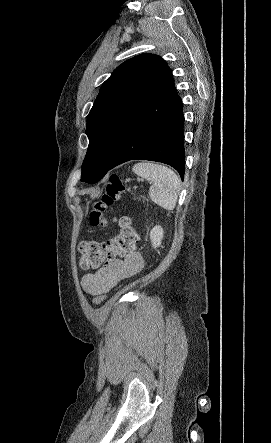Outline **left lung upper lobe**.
<instances>
[{
	"instance_id": "obj_1",
	"label": "left lung upper lobe",
	"mask_w": 271,
	"mask_h": 443,
	"mask_svg": "<svg viewBox=\"0 0 271 443\" xmlns=\"http://www.w3.org/2000/svg\"><path fill=\"white\" fill-rule=\"evenodd\" d=\"M167 67L160 56L141 54L122 63L104 82L87 117L89 146L81 181L96 183L110 170L131 119Z\"/></svg>"
}]
</instances>
